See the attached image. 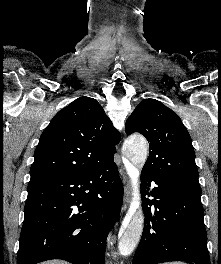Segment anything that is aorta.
I'll return each instance as SVG.
<instances>
[{
  "label": "aorta",
  "mask_w": 221,
  "mask_h": 264,
  "mask_svg": "<svg viewBox=\"0 0 221 264\" xmlns=\"http://www.w3.org/2000/svg\"><path fill=\"white\" fill-rule=\"evenodd\" d=\"M123 153L134 166L142 167L148 155L145 139L135 136L127 139L123 145ZM134 192L138 194V186L134 185ZM144 226V214L140 205L136 207L129 220L122 227L119 235V253L127 257L136 249Z\"/></svg>",
  "instance_id": "aorta-1"
}]
</instances>
